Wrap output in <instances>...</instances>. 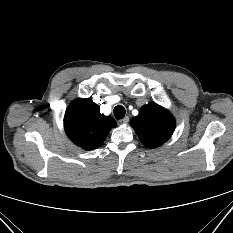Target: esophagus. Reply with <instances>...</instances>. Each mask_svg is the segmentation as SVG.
<instances>
[{"instance_id": "1", "label": "esophagus", "mask_w": 233, "mask_h": 233, "mask_svg": "<svg viewBox=\"0 0 233 233\" xmlns=\"http://www.w3.org/2000/svg\"><path fill=\"white\" fill-rule=\"evenodd\" d=\"M121 124H126V123H128L129 122V117L128 116H125L123 119H121L120 121H119Z\"/></svg>"}]
</instances>
